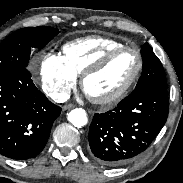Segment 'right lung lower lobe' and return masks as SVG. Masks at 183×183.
<instances>
[{"label":"right lung lower lobe","mask_w":183,"mask_h":183,"mask_svg":"<svg viewBox=\"0 0 183 183\" xmlns=\"http://www.w3.org/2000/svg\"><path fill=\"white\" fill-rule=\"evenodd\" d=\"M61 107L36 88L27 68L0 72V154L31 159L45 147Z\"/></svg>","instance_id":"1"}]
</instances>
